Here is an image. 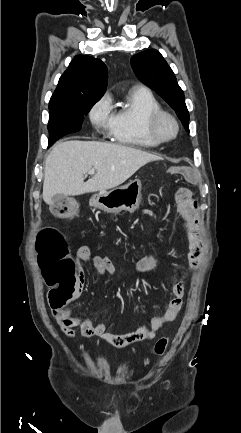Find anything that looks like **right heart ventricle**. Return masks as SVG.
<instances>
[{"mask_svg":"<svg viewBox=\"0 0 241 433\" xmlns=\"http://www.w3.org/2000/svg\"><path fill=\"white\" fill-rule=\"evenodd\" d=\"M159 110L161 106L150 90L145 87L132 89L113 115V139L142 149L158 147L160 144L149 136L146 125L149 116Z\"/></svg>","mask_w":241,"mask_h":433,"instance_id":"right-heart-ventricle-1","label":"right heart ventricle"}]
</instances>
